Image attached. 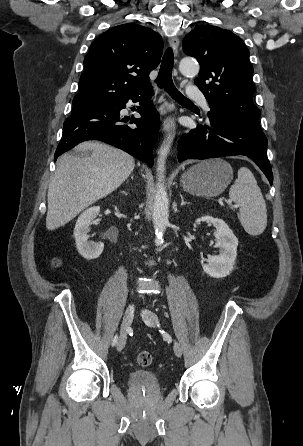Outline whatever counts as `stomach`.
<instances>
[{"mask_svg": "<svg viewBox=\"0 0 303 446\" xmlns=\"http://www.w3.org/2000/svg\"><path fill=\"white\" fill-rule=\"evenodd\" d=\"M233 179V169L223 159L201 161L182 174L180 183L184 191L214 197L221 194Z\"/></svg>", "mask_w": 303, "mask_h": 446, "instance_id": "stomach-1", "label": "stomach"}]
</instances>
